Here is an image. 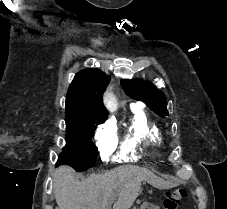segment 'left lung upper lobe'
I'll use <instances>...</instances> for the list:
<instances>
[{
    "label": "left lung upper lobe",
    "mask_w": 227,
    "mask_h": 209,
    "mask_svg": "<svg viewBox=\"0 0 227 209\" xmlns=\"http://www.w3.org/2000/svg\"><path fill=\"white\" fill-rule=\"evenodd\" d=\"M121 85L128 96L143 101L159 116L165 117L168 115L164 94L157 90L150 82H143L142 80H121Z\"/></svg>",
    "instance_id": "1"
}]
</instances>
